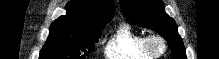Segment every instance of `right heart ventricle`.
Listing matches in <instances>:
<instances>
[{"label":"right heart ventricle","instance_id":"e07e8e85","mask_svg":"<svg viewBox=\"0 0 219 59\" xmlns=\"http://www.w3.org/2000/svg\"><path fill=\"white\" fill-rule=\"evenodd\" d=\"M108 59H153L145 48V35L122 23L110 36L104 48Z\"/></svg>","mask_w":219,"mask_h":59}]
</instances>
